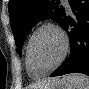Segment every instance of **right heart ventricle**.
Here are the masks:
<instances>
[{
    "label": "right heart ventricle",
    "instance_id": "obj_1",
    "mask_svg": "<svg viewBox=\"0 0 89 89\" xmlns=\"http://www.w3.org/2000/svg\"><path fill=\"white\" fill-rule=\"evenodd\" d=\"M25 65H26V70H27L28 74L32 78H38V77H40L39 74H37L36 72H34L33 70H31V68L29 67L28 62H27V58H26V54H25Z\"/></svg>",
    "mask_w": 89,
    "mask_h": 89
}]
</instances>
